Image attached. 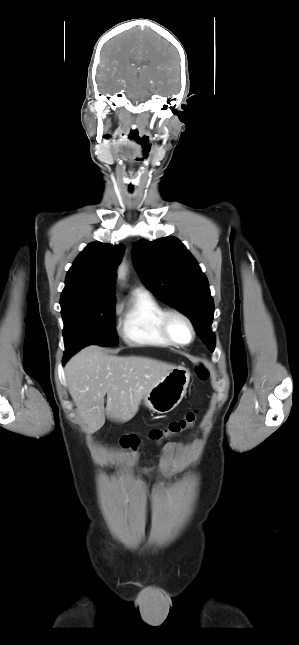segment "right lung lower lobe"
<instances>
[{
  "label": "right lung lower lobe",
  "mask_w": 299,
  "mask_h": 645,
  "mask_svg": "<svg viewBox=\"0 0 299 645\" xmlns=\"http://www.w3.org/2000/svg\"><path fill=\"white\" fill-rule=\"evenodd\" d=\"M66 361H67V360H66ZM66 361H65V360H63V364H65V363H66Z\"/></svg>",
  "instance_id": "obj_1"
}]
</instances>
